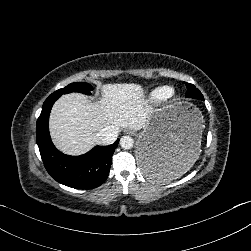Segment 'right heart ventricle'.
Returning <instances> with one entry per match:
<instances>
[{"label":"right heart ventricle","mask_w":251,"mask_h":251,"mask_svg":"<svg viewBox=\"0 0 251 251\" xmlns=\"http://www.w3.org/2000/svg\"><path fill=\"white\" fill-rule=\"evenodd\" d=\"M175 94L174 87L162 85L151 89L146 96V103L150 105H160L168 101Z\"/></svg>","instance_id":"1"}]
</instances>
